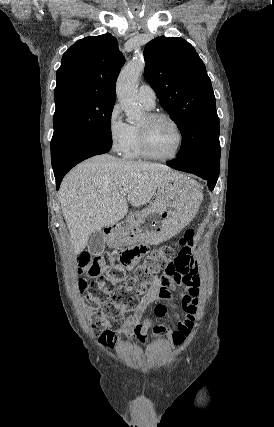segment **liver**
Here are the masks:
<instances>
[{
  "instance_id": "liver-1",
  "label": "liver",
  "mask_w": 274,
  "mask_h": 427,
  "mask_svg": "<svg viewBox=\"0 0 274 427\" xmlns=\"http://www.w3.org/2000/svg\"><path fill=\"white\" fill-rule=\"evenodd\" d=\"M172 172L162 164L119 160L103 154L78 164L60 186V204L75 253H81L88 237L106 225H114L128 212V202L140 208L158 188H168ZM120 190H128L122 196Z\"/></svg>"
}]
</instances>
